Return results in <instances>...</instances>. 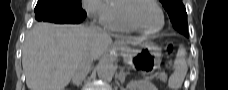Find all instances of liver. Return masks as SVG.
Here are the masks:
<instances>
[{
	"label": "liver",
	"mask_w": 228,
	"mask_h": 90,
	"mask_svg": "<svg viewBox=\"0 0 228 90\" xmlns=\"http://www.w3.org/2000/svg\"><path fill=\"white\" fill-rule=\"evenodd\" d=\"M133 46L147 37H120ZM112 44L107 33L90 36L84 25L37 23L27 34L22 66L29 90H63L70 82L75 66L86 52L96 60Z\"/></svg>",
	"instance_id": "liver-1"
}]
</instances>
